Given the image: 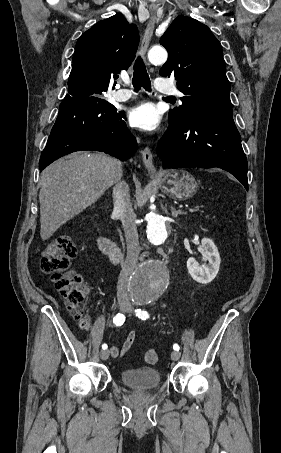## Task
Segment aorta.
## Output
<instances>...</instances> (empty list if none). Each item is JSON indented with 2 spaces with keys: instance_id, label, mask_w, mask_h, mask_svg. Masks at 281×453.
I'll return each instance as SVG.
<instances>
[{
  "instance_id": "1",
  "label": "aorta",
  "mask_w": 281,
  "mask_h": 453,
  "mask_svg": "<svg viewBox=\"0 0 281 453\" xmlns=\"http://www.w3.org/2000/svg\"><path fill=\"white\" fill-rule=\"evenodd\" d=\"M168 54L162 47H153L148 52V59L154 65L166 62ZM147 237L154 245L164 243L168 236L164 217L151 212L146 215ZM169 284V272L164 264L158 260H148L137 268L130 278V291L139 302L149 303L157 299Z\"/></svg>"
}]
</instances>
